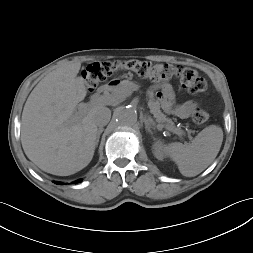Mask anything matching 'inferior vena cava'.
Instances as JSON below:
<instances>
[{
    "instance_id": "inferior-vena-cava-1",
    "label": "inferior vena cava",
    "mask_w": 253,
    "mask_h": 253,
    "mask_svg": "<svg viewBox=\"0 0 253 253\" xmlns=\"http://www.w3.org/2000/svg\"><path fill=\"white\" fill-rule=\"evenodd\" d=\"M111 118V111L107 107L100 108L94 116L95 124L100 128L108 124Z\"/></svg>"
}]
</instances>
